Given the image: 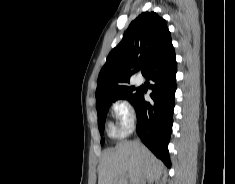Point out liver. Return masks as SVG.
I'll return each mask as SVG.
<instances>
[{"label": "liver", "instance_id": "obj_1", "mask_svg": "<svg viewBox=\"0 0 235 184\" xmlns=\"http://www.w3.org/2000/svg\"><path fill=\"white\" fill-rule=\"evenodd\" d=\"M162 170V162L145 146L135 142H120L103 154L98 184H127V178L130 182H140L142 176L148 182H157Z\"/></svg>", "mask_w": 235, "mask_h": 184}]
</instances>
